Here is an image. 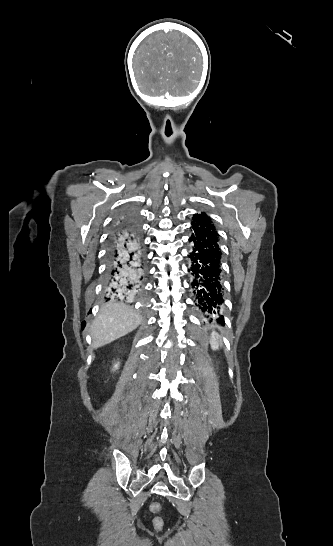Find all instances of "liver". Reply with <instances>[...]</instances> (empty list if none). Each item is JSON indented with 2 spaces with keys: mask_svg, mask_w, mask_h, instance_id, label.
<instances>
[{
  "mask_svg": "<svg viewBox=\"0 0 333 546\" xmlns=\"http://www.w3.org/2000/svg\"><path fill=\"white\" fill-rule=\"evenodd\" d=\"M141 320L139 313L123 303L103 305L90 329L93 347H102L127 335L139 326Z\"/></svg>",
  "mask_w": 333,
  "mask_h": 546,
  "instance_id": "6515ba94",
  "label": "liver"
}]
</instances>
